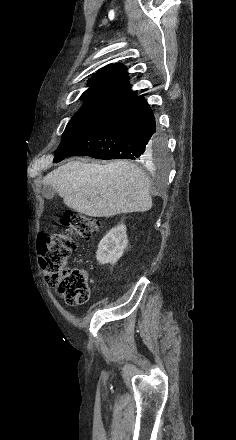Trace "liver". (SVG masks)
<instances>
[{
	"label": "liver",
	"mask_w": 236,
	"mask_h": 440,
	"mask_svg": "<svg viewBox=\"0 0 236 440\" xmlns=\"http://www.w3.org/2000/svg\"><path fill=\"white\" fill-rule=\"evenodd\" d=\"M42 182L51 185L67 207L91 217L152 208L149 178L126 160L106 165L72 161L47 174Z\"/></svg>",
	"instance_id": "1"
}]
</instances>
